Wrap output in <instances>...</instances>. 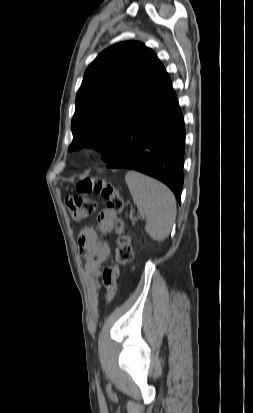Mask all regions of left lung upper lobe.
I'll return each mask as SVG.
<instances>
[{
  "instance_id": "left-lung-upper-lobe-1",
  "label": "left lung upper lobe",
  "mask_w": 253,
  "mask_h": 413,
  "mask_svg": "<svg viewBox=\"0 0 253 413\" xmlns=\"http://www.w3.org/2000/svg\"><path fill=\"white\" fill-rule=\"evenodd\" d=\"M166 70L141 42L115 44L88 66L76 96L69 150L94 147L111 162L121 147L124 125L138 114Z\"/></svg>"
}]
</instances>
